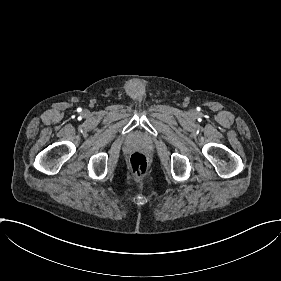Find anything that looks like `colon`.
<instances>
[{
    "label": "colon",
    "instance_id": "5ec220e1",
    "mask_svg": "<svg viewBox=\"0 0 281 281\" xmlns=\"http://www.w3.org/2000/svg\"><path fill=\"white\" fill-rule=\"evenodd\" d=\"M128 168L132 176L142 178L148 174L150 164L144 154L135 152L129 157Z\"/></svg>",
    "mask_w": 281,
    "mask_h": 281
}]
</instances>
